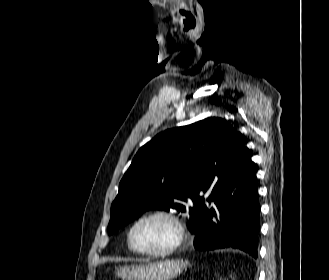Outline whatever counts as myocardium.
Instances as JSON below:
<instances>
[{
  "label": "myocardium",
  "mask_w": 329,
  "mask_h": 280,
  "mask_svg": "<svg viewBox=\"0 0 329 280\" xmlns=\"http://www.w3.org/2000/svg\"><path fill=\"white\" fill-rule=\"evenodd\" d=\"M154 218H161L167 220L174 229L175 237L174 241L166 248L160 250H142L138 249L133 243V233L136 227L142 223L143 221L154 219ZM185 239V230L184 227L177 217V215L171 211L160 209L154 210L148 213L143 214L138 219L134 221L131 225L129 232H128V245L129 248L136 254L143 255V256H152V257H162L167 256L174 253L176 250L180 248L182 243Z\"/></svg>",
  "instance_id": "obj_1"
}]
</instances>
